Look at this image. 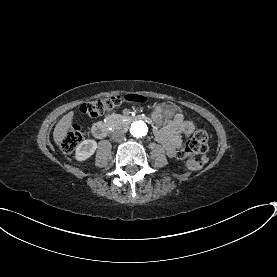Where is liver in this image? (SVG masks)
I'll list each match as a JSON object with an SVG mask.
<instances>
[{
	"instance_id": "6515ba94",
	"label": "liver",
	"mask_w": 277,
	"mask_h": 277,
	"mask_svg": "<svg viewBox=\"0 0 277 277\" xmlns=\"http://www.w3.org/2000/svg\"><path fill=\"white\" fill-rule=\"evenodd\" d=\"M73 115L74 112L70 111L56 124L53 132V138L56 144H60L67 136L68 130L72 125Z\"/></svg>"
}]
</instances>
